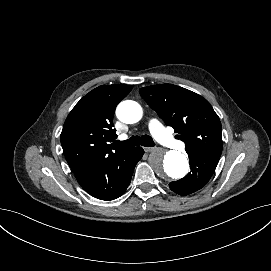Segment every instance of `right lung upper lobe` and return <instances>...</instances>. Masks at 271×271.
Returning a JSON list of instances; mask_svg holds the SVG:
<instances>
[{
    "label": "right lung upper lobe",
    "mask_w": 271,
    "mask_h": 271,
    "mask_svg": "<svg viewBox=\"0 0 271 271\" xmlns=\"http://www.w3.org/2000/svg\"><path fill=\"white\" fill-rule=\"evenodd\" d=\"M132 88L131 85L99 86L84 96L68 115L61 132V145L79 183L129 149L109 143L117 137L112 128L115 108Z\"/></svg>",
    "instance_id": "right-lung-upper-lobe-1"
}]
</instances>
